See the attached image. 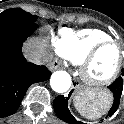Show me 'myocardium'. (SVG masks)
Returning a JSON list of instances; mask_svg holds the SVG:
<instances>
[{"instance_id":"myocardium-1","label":"myocardium","mask_w":124,"mask_h":124,"mask_svg":"<svg viewBox=\"0 0 124 124\" xmlns=\"http://www.w3.org/2000/svg\"><path fill=\"white\" fill-rule=\"evenodd\" d=\"M107 46H115L118 49V51H119L118 64H117L115 70L113 71V73L110 76H108L107 78L101 79V80L94 79L89 73L90 65L93 62V60L95 59V57L97 56V54L103 48H105ZM123 67H124V49L116 41L107 40V41H103V42L96 44L87 53V55L84 57V59L82 60V62L80 64V76H81V79L83 80V82L85 84H87L88 86L93 87V88H102V87L112 84L120 75Z\"/></svg>"}]
</instances>
